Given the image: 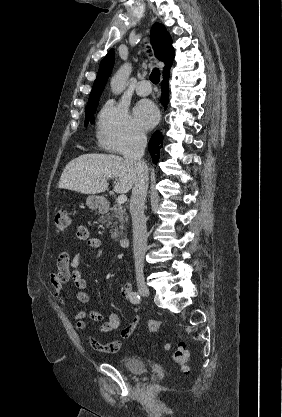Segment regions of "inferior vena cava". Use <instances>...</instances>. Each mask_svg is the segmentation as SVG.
Segmentation results:
<instances>
[{"label": "inferior vena cava", "instance_id": "obj_1", "mask_svg": "<svg viewBox=\"0 0 282 417\" xmlns=\"http://www.w3.org/2000/svg\"><path fill=\"white\" fill-rule=\"evenodd\" d=\"M147 144L143 132L133 130L124 158L129 162L134 174V186L130 200V213L133 229V251L135 275L137 281H144V259L147 251L146 217L144 204L148 188V166L142 156Z\"/></svg>", "mask_w": 282, "mask_h": 417}]
</instances>
